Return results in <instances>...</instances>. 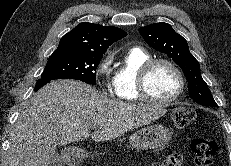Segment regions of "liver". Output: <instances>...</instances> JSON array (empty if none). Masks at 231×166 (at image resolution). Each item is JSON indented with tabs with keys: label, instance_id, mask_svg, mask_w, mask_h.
Wrapping results in <instances>:
<instances>
[{
	"label": "liver",
	"instance_id": "1",
	"mask_svg": "<svg viewBox=\"0 0 231 166\" xmlns=\"http://www.w3.org/2000/svg\"><path fill=\"white\" fill-rule=\"evenodd\" d=\"M165 113L160 106L110 100L79 81H52L21 111L10 137L9 166H48L58 145L90 136L110 141Z\"/></svg>",
	"mask_w": 231,
	"mask_h": 166
}]
</instances>
